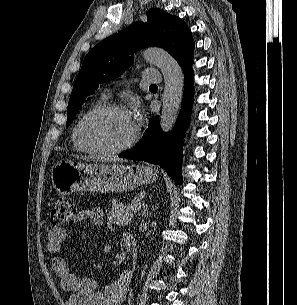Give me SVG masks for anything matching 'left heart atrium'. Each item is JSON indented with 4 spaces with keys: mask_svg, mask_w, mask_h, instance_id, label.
<instances>
[{
    "mask_svg": "<svg viewBox=\"0 0 297 305\" xmlns=\"http://www.w3.org/2000/svg\"><path fill=\"white\" fill-rule=\"evenodd\" d=\"M133 124L135 126H137L138 122H139V110L138 109H134L132 112H130L129 114Z\"/></svg>",
    "mask_w": 297,
    "mask_h": 305,
    "instance_id": "left-heart-atrium-1",
    "label": "left heart atrium"
}]
</instances>
